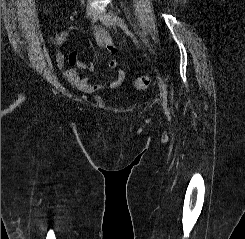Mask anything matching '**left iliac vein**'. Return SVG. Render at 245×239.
Masks as SVG:
<instances>
[{
    "mask_svg": "<svg viewBox=\"0 0 245 239\" xmlns=\"http://www.w3.org/2000/svg\"><path fill=\"white\" fill-rule=\"evenodd\" d=\"M97 18L100 19V21L106 26V27H115L116 26V20L115 18L107 13V12H97L95 15ZM162 95V93H161Z\"/></svg>",
    "mask_w": 245,
    "mask_h": 239,
    "instance_id": "obj_1",
    "label": "left iliac vein"
}]
</instances>
